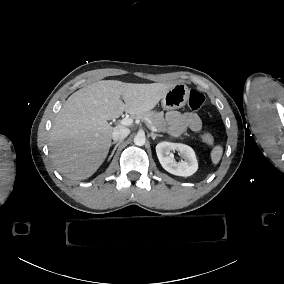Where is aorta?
I'll return each mask as SVG.
<instances>
[{
    "label": "aorta",
    "mask_w": 284,
    "mask_h": 284,
    "mask_svg": "<svg viewBox=\"0 0 284 284\" xmlns=\"http://www.w3.org/2000/svg\"><path fill=\"white\" fill-rule=\"evenodd\" d=\"M146 138L143 135H136L134 137V144L137 146H143L145 144Z\"/></svg>",
    "instance_id": "1"
}]
</instances>
